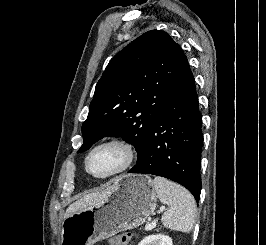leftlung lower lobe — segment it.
<instances>
[{
    "label": "left lung lower lobe",
    "instance_id": "left-lung-lower-lobe-1",
    "mask_svg": "<svg viewBox=\"0 0 266 245\" xmlns=\"http://www.w3.org/2000/svg\"><path fill=\"white\" fill-rule=\"evenodd\" d=\"M202 115L189 65L154 118L144 152L128 172L153 174L187 188L199 201Z\"/></svg>",
    "mask_w": 266,
    "mask_h": 245
}]
</instances>
